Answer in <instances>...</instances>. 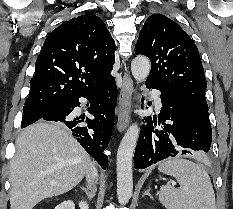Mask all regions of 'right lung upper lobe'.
I'll return each instance as SVG.
<instances>
[{
    "label": "right lung upper lobe",
    "mask_w": 233,
    "mask_h": 209,
    "mask_svg": "<svg viewBox=\"0 0 233 209\" xmlns=\"http://www.w3.org/2000/svg\"><path fill=\"white\" fill-rule=\"evenodd\" d=\"M115 42L105 23L86 13L62 23L44 41L25 103L66 101L112 76Z\"/></svg>",
    "instance_id": "obj_1"
}]
</instances>
